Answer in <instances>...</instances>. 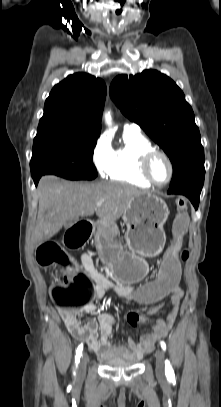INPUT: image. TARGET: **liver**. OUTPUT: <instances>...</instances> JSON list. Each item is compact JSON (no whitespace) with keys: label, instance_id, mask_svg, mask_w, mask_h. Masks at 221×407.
Wrapping results in <instances>:
<instances>
[{"label":"liver","instance_id":"6515ba94","mask_svg":"<svg viewBox=\"0 0 221 407\" xmlns=\"http://www.w3.org/2000/svg\"><path fill=\"white\" fill-rule=\"evenodd\" d=\"M145 193L136 187L115 182L73 183L53 175L43 176L37 187L39 200L37 223L32 242L38 246L80 217L94 213L114 224L125 212L132 197ZM104 200L101 206L97 202Z\"/></svg>","mask_w":221,"mask_h":407}]
</instances>
